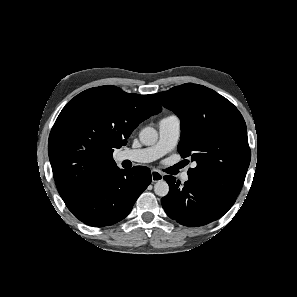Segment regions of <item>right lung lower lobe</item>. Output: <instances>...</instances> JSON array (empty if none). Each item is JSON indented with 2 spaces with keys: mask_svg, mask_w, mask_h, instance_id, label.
Returning a JSON list of instances; mask_svg holds the SVG:
<instances>
[{
  "mask_svg": "<svg viewBox=\"0 0 297 297\" xmlns=\"http://www.w3.org/2000/svg\"><path fill=\"white\" fill-rule=\"evenodd\" d=\"M150 183L151 172L147 167L116 169L91 186L69 210L87 225H112L130 213L135 201Z\"/></svg>",
  "mask_w": 297,
  "mask_h": 297,
  "instance_id": "1",
  "label": "right lung lower lobe"
}]
</instances>
